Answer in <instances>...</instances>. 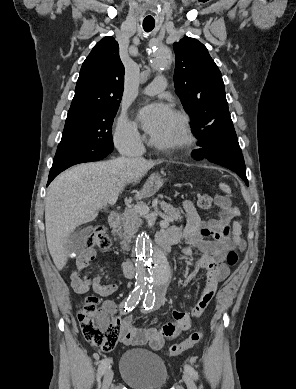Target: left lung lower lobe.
Instances as JSON below:
<instances>
[{
	"label": "left lung lower lobe",
	"instance_id": "left-lung-lower-lobe-1",
	"mask_svg": "<svg viewBox=\"0 0 296 389\" xmlns=\"http://www.w3.org/2000/svg\"><path fill=\"white\" fill-rule=\"evenodd\" d=\"M198 149L192 151L195 160L226 167L238 174L248 185L246 167L230 113L217 117L210 125L201 130Z\"/></svg>",
	"mask_w": 296,
	"mask_h": 389
}]
</instances>
